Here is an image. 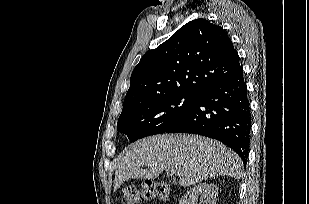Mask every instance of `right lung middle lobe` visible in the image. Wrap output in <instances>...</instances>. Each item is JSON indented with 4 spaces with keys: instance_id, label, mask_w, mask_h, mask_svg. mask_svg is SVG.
I'll list each match as a JSON object with an SVG mask.
<instances>
[{
    "instance_id": "1",
    "label": "right lung middle lobe",
    "mask_w": 309,
    "mask_h": 204,
    "mask_svg": "<svg viewBox=\"0 0 309 204\" xmlns=\"http://www.w3.org/2000/svg\"><path fill=\"white\" fill-rule=\"evenodd\" d=\"M198 96L180 92L126 103L118 119L117 130L126 134L130 142L163 133L192 108Z\"/></svg>"
}]
</instances>
